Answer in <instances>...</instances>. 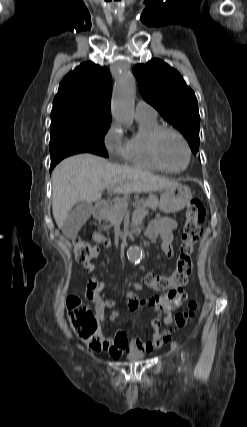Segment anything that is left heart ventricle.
<instances>
[{"label": "left heart ventricle", "mask_w": 247, "mask_h": 427, "mask_svg": "<svg viewBox=\"0 0 247 427\" xmlns=\"http://www.w3.org/2000/svg\"><path fill=\"white\" fill-rule=\"evenodd\" d=\"M159 153L164 164L171 169H181L187 161V152L182 141L172 133L162 136Z\"/></svg>", "instance_id": "left-heart-ventricle-1"}]
</instances>
